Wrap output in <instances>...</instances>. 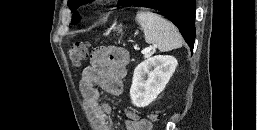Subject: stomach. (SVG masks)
<instances>
[{"instance_id":"obj_1","label":"stomach","mask_w":257,"mask_h":130,"mask_svg":"<svg viewBox=\"0 0 257 130\" xmlns=\"http://www.w3.org/2000/svg\"><path fill=\"white\" fill-rule=\"evenodd\" d=\"M117 31H118L119 33L122 32L121 27L117 28Z\"/></svg>"}]
</instances>
